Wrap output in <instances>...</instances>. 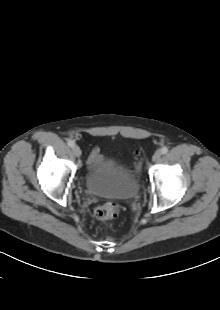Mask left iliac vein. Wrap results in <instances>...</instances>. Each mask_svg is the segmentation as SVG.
Listing matches in <instances>:
<instances>
[{
    "mask_svg": "<svg viewBox=\"0 0 220 310\" xmlns=\"http://www.w3.org/2000/svg\"><path fill=\"white\" fill-rule=\"evenodd\" d=\"M162 156L161 151H156L152 157L153 162H158Z\"/></svg>",
    "mask_w": 220,
    "mask_h": 310,
    "instance_id": "obj_1",
    "label": "left iliac vein"
}]
</instances>
